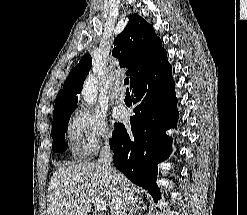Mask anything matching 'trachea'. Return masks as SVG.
<instances>
[{"label":"trachea","mask_w":247,"mask_h":215,"mask_svg":"<svg viewBox=\"0 0 247 215\" xmlns=\"http://www.w3.org/2000/svg\"><path fill=\"white\" fill-rule=\"evenodd\" d=\"M124 84H125V85H128V84H129V78H128V77H126V78L124 79ZM127 90H128V88H127Z\"/></svg>","instance_id":"trachea-1"}]
</instances>
